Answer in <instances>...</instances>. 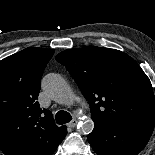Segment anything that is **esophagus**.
Masks as SVG:
<instances>
[{
    "instance_id": "obj_1",
    "label": "esophagus",
    "mask_w": 155,
    "mask_h": 155,
    "mask_svg": "<svg viewBox=\"0 0 155 155\" xmlns=\"http://www.w3.org/2000/svg\"><path fill=\"white\" fill-rule=\"evenodd\" d=\"M78 123V120L76 119H73L72 121H70L67 126L70 127V128H74Z\"/></svg>"
}]
</instances>
